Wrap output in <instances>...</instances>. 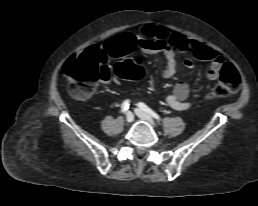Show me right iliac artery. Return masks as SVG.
Here are the masks:
<instances>
[{"label": "right iliac artery", "instance_id": "1", "mask_svg": "<svg viewBox=\"0 0 258 206\" xmlns=\"http://www.w3.org/2000/svg\"><path fill=\"white\" fill-rule=\"evenodd\" d=\"M129 105H130V100H125L122 105H121V109H122V112L125 113L128 108H129Z\"/></svg>", "mask_w": 258, "mask_h": 206}]
</instances>
